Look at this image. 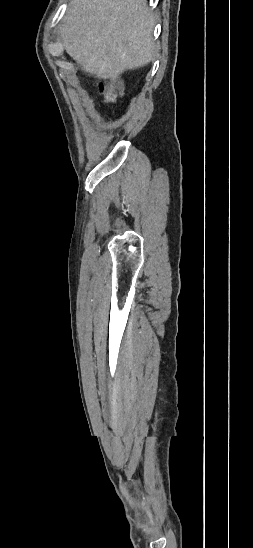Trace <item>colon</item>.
Returning a JSON list of instances; mask_svg holds the SVG:
<instances>
[{
	"label": "colon",
	"mask_w": 253,
	"mask_h": 548,
	"mask_svg": "<svg viewBox=\"0 0 253 548\" xmlns=\"http://www.w3.org/2000/svg\"><path fill=\"white\" fill-rule=\"evenodd\" d=\"M99 91L104 95L107 102H113L121 91V83L118 80L98 83Z\"/></svg>",
	"instance_id": "colon-1"
}]
</instances>
